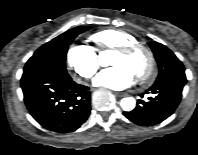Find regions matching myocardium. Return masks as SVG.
Instances as JSON below:
<instances>
[{
    "instance_id": "1",
    "label": "myocardium",
    "mask_w": 198,
    "mask_h": 155,
    "mask_svg": "<svg viewBox=\"0 0 198 155\" xmlns=\"http://www.w3.org/2000/svg\"><path fill=\"white\" fill-rule=\"evenodd\" d=\"M115 50L116 52L126 55L139 50L143 51L147 56L148 64L146 69L140 74H138L136 78L140 83H148L153 78L156 69V59L153 51L148 46L144 45L143 43L133 42L121 45L117 47Z\"/></svg>"
}]
</instances>
